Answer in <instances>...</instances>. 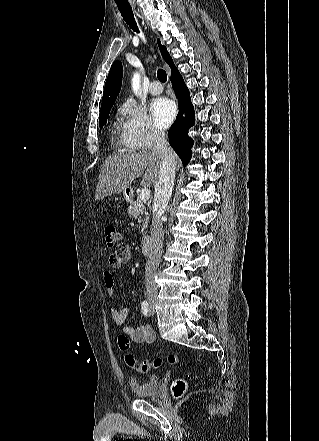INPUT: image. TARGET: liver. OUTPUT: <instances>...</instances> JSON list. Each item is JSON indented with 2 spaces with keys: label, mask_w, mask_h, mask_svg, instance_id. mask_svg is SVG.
<instances>
[{
  "label": "liver",
  "mask_w": 319,
  "mask_h": 441,
  "mask_svg": "<svg viewBox=\"0 0 319 441\" xmlns=\"http://www.w3.org/2000/svg\"><path fill=\"white\" fill-rule=\"evenodd\" d=\"M180 164V159L175 155V168ZM145 170L142 186L148 188L156 185L160 173V160L151 152L121 153L108 157L100 170L95 199L100 200L125 191Z\"/></svg>",
  "instance_id": "liver-1"
}]
</instances>
